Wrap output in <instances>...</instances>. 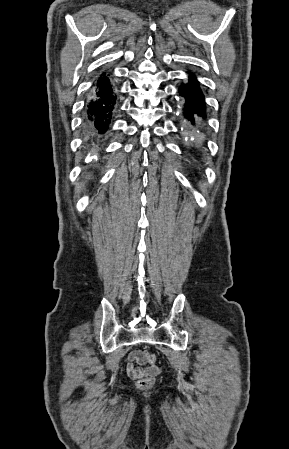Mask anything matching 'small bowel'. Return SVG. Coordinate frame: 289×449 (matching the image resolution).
<instances>
[{
    "mask_svg": "<svg viewBox=\"0 0 289 449\" xmlns=\"http://www.w3.org/2000/svg\"><path fill=\"white\" fill-rule=\"evenodd\" d=\"M127 373L133 379H139L149 375H157L160 368L156 365H148L146 352L140 350L131 351L128 355Z\"/></svg>",
    "mask_w": 289,
    "mask_h": 449,
    "instance_id": "small-bowel-1",
    "label": "small bowel"
}]
</instances>
